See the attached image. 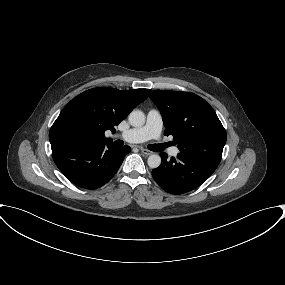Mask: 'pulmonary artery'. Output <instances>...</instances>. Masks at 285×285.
I'll return each instance as SVG.
<instances>
[{
	"label": "pulmonary artery",
	"mask_w": 285,
	"mask_h": 285,
	"mask_svg": "<svg viewBox=\"0 0 285 285\" xmlns=\"http://www.w3.org/2000/svg\"><path fill=\"white\" fill-rule=\"evenodd\" d=\"M163 128V121L160 112L157 109H151L147 113L146 123L143 126L125 130L115 137L130 143H141L149 139H158ZM171 156H177L179 149L173 147L169 151Z\"/></svg>",
	"instance_id": "pulmonary-artery-1"
}]
</instances>
